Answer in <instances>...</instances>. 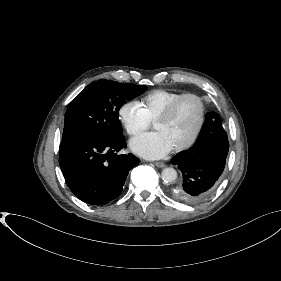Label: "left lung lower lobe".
<instances>
[{"label":"left lung lower lobe","mask_w":281,"mask_h":281,"mask_svg":"<svg viewBox=\"0 0 281 281\" xmlns=\"http://www.w3.org/2000/svg\"><path fill=\"white\" fill-rule=\"evenodd\" d=\"M228 150L225 130L207 113L194 145L171 159L182 172L175 195L186 203H199L210 197L224 170Z\"/></svg>","instance_id":"left-lung-lower-lobe-1"}]
</instances>
